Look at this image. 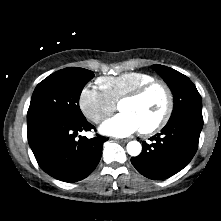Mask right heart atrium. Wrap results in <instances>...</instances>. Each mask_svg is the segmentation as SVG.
<instances>
[{
	"mask_svg": "<svg viewBox=\"0 0 221 221\" xmlns=\"http://www.w3.org/2000/svg\"><path fill=\"white\" fill-rule=\"evenodd\" d=\"M79 107L88 120L98 124L112 115L116 103L96 87L86 86L80 93Z\"/></svg>",
	"mask_w": 221,
	"mask_h": 221,
	"instance_id": "right-heart-atrium-1",
	"label": "right heart atrium"
}]
</instances>
